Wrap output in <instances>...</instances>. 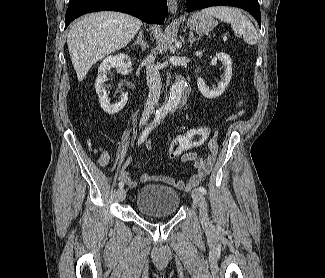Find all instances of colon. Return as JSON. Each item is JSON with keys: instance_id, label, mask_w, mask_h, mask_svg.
<instances>
[{"instance_id": "1", "label": "colon", "mask_w": 325, "mask_h": 278, "mask_svg": "<svg viewBox=\"0 0 325 278\" xmlns=\"http://www.w3.org/2000/svg\"><path fill=\"white\" fill-rule=\"evenodd\" d=\"M209 135L207 127L192 128L189 135L176 136L169 145L168 155L171 159H176L183 152L202 145Z\"/></svg>"}]
</instances>
